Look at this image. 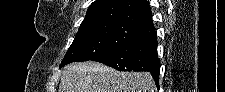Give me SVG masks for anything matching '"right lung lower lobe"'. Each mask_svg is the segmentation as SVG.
Listing matches in <instances>:
<instances>
[{
  "instance_id": "right-lung-lower-lobe-1",
  "label": "right lung lower lobe",
  "mask_w": 225,
  "mask_h": 92,
  "mask_svg": "<svg viewBox=\"0 0 225 92\" xmlns=\"http://www.w3.org/2000/svg\"><path fill=\"white\" fill-rule=\"evenodd\" d=\"M151 30L140 37L106 51L91 59L119 71H149L159 88L160 60L157 54V35Z\"/></svg>"
}]
</instances>
